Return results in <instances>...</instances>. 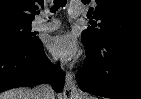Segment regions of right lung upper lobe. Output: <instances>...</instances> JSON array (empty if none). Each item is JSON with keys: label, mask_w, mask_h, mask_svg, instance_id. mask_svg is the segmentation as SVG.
Here are the masks:
<instances>
[{"label": "right lung upper lobe", "mask_w": 141, "mask_h": 99, "mask_svg": "<svg viewBox=\"0 0 141 99\" xmlns=\"http://www.w3.org/2000/svg\"><path fill=\"white\" fill-rule=\"evenodd\" d=\"M37 4L43 5V0H0V22L32 21Z\"/></svg>", "instance_id": "cb5924a9"}]
</instances>
